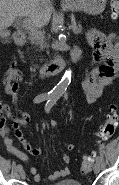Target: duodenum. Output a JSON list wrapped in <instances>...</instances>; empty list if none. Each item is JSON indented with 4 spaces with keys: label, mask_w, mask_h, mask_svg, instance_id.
I'll use <instances>...</instances> for the list:
<instances>
[{
    "label": "duodenum",
    "mask_w": 119,
    "mask_h": 185,
    "mask_svg": "<svg viewBox=\"0 0 119 185\" xmlns=\"http://www.w3.org/2000/svg\"><path fill=\"white\" fill-rule=\"evenodd\" d=\"M15 41L18 45H24L26 43V34L18 32L15 34ZM81 57V50L73 49L66 57H56L50 62L43 65L38 70L40 77L53 76L61 72L68 64L77 62Z\"/></svg>",
    "instance_id": "1"
}]
</instances>
